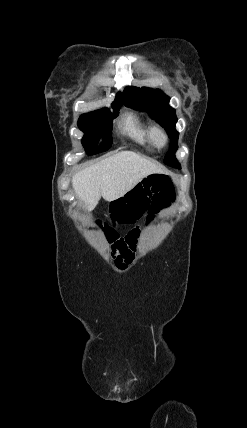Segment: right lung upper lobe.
<instances>
[{"label": "right lung upper lobe", "mask_w": 247, "mask_h": 428, "mask_svg": "<svg viewBox=\"0 0 247 428\" xmlns=\"http://www.w3.org/2000/svg\"><path fill=\"white\" fill-rule=\"evenodd\" d=\"M123 101H124V95H122L121 93H118L112 105L122 104Z\"/></svg>", "instance_id": "obj_1"}]
</instances>
